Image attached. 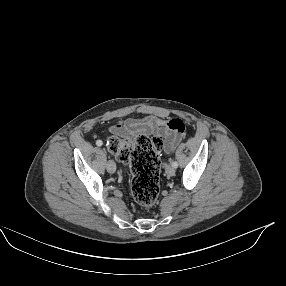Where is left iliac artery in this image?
Instances as JSON below:
<instances>
[{
    "mask_svg": "<svg viewBox=\"0 0 286 286\" xmlns=\"http://www.w3.org/2000/svg\"><path fill=\"white\" fill-rule=\"evenodd\" d=\"M172 166H173L174 168H177V167H178V163H177L176 161H172Z\"/></svg>",
    "mask_w": 286,
    "mask_h": 286,
    "instance_id": "1",
    "label": "left iliac artery"
}]
</instances>
